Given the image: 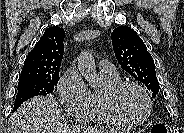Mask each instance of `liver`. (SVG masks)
Segmentation results:
<instances>
[{
  "mask_svg": "<svg viewBox=\"0 0 184 133\" xmlns=\"http://www.w3.org/2000/svg\"><path fill=\"white\" fill-rule=\"evenodd\" d=\"M52 97L37 96L23 103L11 116V133H101L93 128L68 127Z\"/></svg>",
  "mask_w": 184,
  "mask_h": 133,
  "instance_id": "obj_1",
  "label": "liver"
}]
</instances>
